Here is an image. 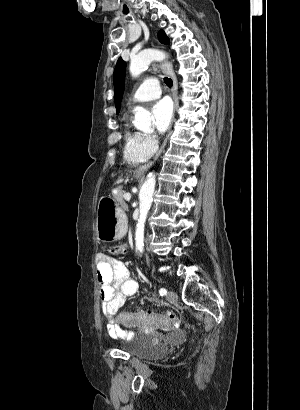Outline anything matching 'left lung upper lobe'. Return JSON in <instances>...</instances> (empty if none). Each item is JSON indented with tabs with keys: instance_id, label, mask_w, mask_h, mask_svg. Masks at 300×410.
<instances>
[{
	"instance_id": "left-lung-upper-lobe-1",
	"label": "left lung upper lobe",
	"mask_w": 300,
	"mask_h": 410,
	"mask_svg": "<svg viewBox=\"0 0 300 410\" xmlns=\"http://www.w3.org/2000/svg\"><path fill=\"white\" fill-rule=\"evenodd\" d=\"M158 38L161 43L164 44H169V38L165 34L164 31H159L158 33ZM125 72H126V62L122 60L120 57L117 61L114 74H113V80H114V101H115V106L117 110V114L120 111V105H121V100L123 96V91H124V77H125Z\"/></svg>"
}]
</instances>
